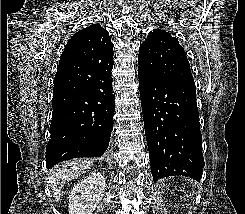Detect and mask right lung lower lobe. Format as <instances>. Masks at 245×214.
<instances>
[{
  "label": "right lung lower lobe",
  "instance_id": "right-lung-lower-lobe-1",
  "mask_svg": "<svg viewBox=\"0 0 245 214\" xmlns=\"http://www.w3.org/2000/svg\"><path fill=\"white\" fill-rule=\"evenodd\" d=\"M112 68L97 67L83 89L54 88L47 168L72 158L99 157L107 150L115 111Z\"/></svg>",
  "mask_w": 245,
  "mask_h": 214
}]
</instances>
